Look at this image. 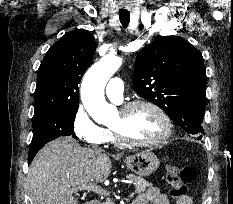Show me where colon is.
<instances>
[{
    "label": "colon",
    "instance_id": "colon-1",
    "mask_svg": "<svg viewBox=\"0 0 233 204\" xmlns=\"http://www.w3.org/2000/svg\"><path fill=\"white\" fill-rule=\"evenodd\" d=\"M197 175V171L192 166H168L166 168L165 178L170 186V196L177 198L185 194L186 185L191 183Z\"/></svg>",
    "mask_w": 233,
    "mask_h": 204
}]
</instances>
